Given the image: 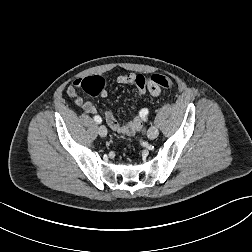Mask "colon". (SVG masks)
<instances>
[{
	"mask_svg": "<svg viewBox=\"0 0 252 252\" xmlns=\"http://www.w3.org/2000/svg\"><path fill=\"white\" fill-rule=\"evenodd\" d=\"M148 82H152L163 89H172L173 81L164 75L155 74L150 78H146L142 75H137L135 85L139 94H144L147 89ZM81 88L91 96H97L101 94L105 88V81L100 76H89L81 81Z\"/></svg>",
	"mask_w": 252,
	"mask_h": 252,
	"instance_id": "colon-1",
	"label": "colon"
}]
</instances>
